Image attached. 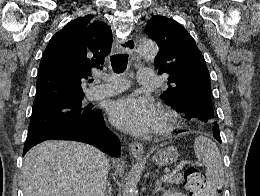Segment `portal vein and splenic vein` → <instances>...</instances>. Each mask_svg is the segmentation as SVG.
Wrapping results in <instances>:
<instances>
[{"instance_id": "1", "label": "portal vein and splenic vein", "mask_w": 260, "mask_h": 196, "mask_svg": "<svg viewBox=\"0 0 260 196\" xmlns=\"http://www.w3.org/2000/svg\"><path fill=\"white\" fill-rule=\"evenodd\" d=\"M185 164H187V162H180L179 166H177V168H179V170H182L183 166H185ZM176 172H178V170H174V172H172V174H166L161 176L162 182H167V180H170V178H173V176H175Z\"/></svg>"}]
</instances>
